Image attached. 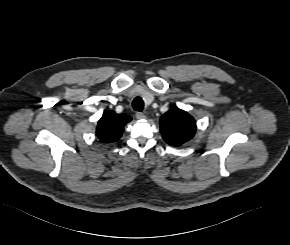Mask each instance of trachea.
<instances>
[{
  "label": "trachea",
  "mask_w": 290,
  "mask_h": 245,
  "mask_svg": "<svg viewBox=\"0 0 290 245\" xmlns=\"http://www.w3.org/2000/svg\"><path fill=\"white\" fill-rule=\"evenodd\" d=\"M143 107H144V103H143L142 98L141 97H136L133 100V108H134V110L141 112L143 110Z\"/></svg>",
  "instance_id": "3493384b"
}]
</instances>
